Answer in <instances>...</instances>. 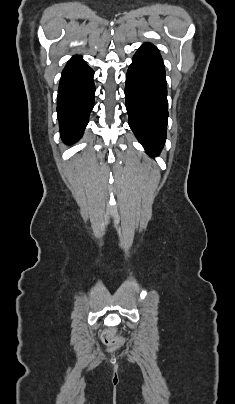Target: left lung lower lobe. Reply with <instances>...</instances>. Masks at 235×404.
I'll list each match as a JSON object with an SVG mask.
<instances>
[{"label":"left lung lower lobe","mask_w":235,"mask_h":404,"mask_svg":"<svg viewBox=\"0 0 235 404\" xmlns=\"http://www.w3.org/2000/svg\"><path fill=\"white\" fill-rule=\"evenodd\" d=\"M125 97L130 128L147 153L157 155L166 139L168 102L163 60L152 44L142 45L134 55Z\"/></svg>","instance_id":"1"}]
</instances>
